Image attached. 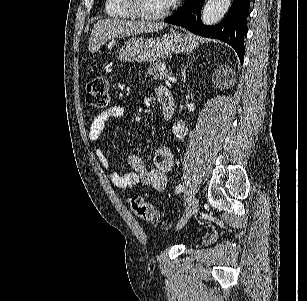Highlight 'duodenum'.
<instances>
[{"mask_svg":"<svg viewBox=\"0 0 307 301\" xmlns=\"http://www.w3.org/2000/svg\"><path fill=\"white\" fill-rule=\"evenodd\" d=\"M158 102L160 104L163 117L170 119L175 112V100L172 93L168 90H164L158 95Z\"/></svg>","mask_w":307,"mask_h":301,"instance_id":"410a0bca","label":"duodenum"}]
</instances>
